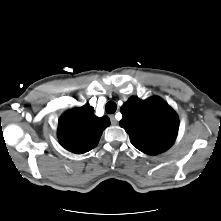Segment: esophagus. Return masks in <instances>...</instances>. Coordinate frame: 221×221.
<instances>
[{"mask_svg":"<svg viewBox=\"0 0 221 221\" xmlns=\"http://www.w3.org/2000/svg\"><path fill=\"white\" fill-rule=\"evenodd\" d=\"M110 121H111V124H112V125H116V124H117V119L115 118L114 115H111V116H110Z\"/></svg>","mask_w":221,"mask_h":221,"instance_id":"34e87169","label":"esophagus"}]
</instances>
